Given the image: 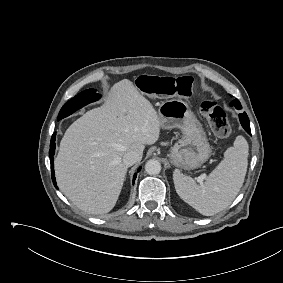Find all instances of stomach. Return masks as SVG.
<instances>
[{"label":"stomach","instance_id":"obj_1","mask_svg":"<svg viewBox=\"0 0 283 283\" xmlns=\"http://www.w3.org/2000/svg\"><path fill=\"white\" fill-rule=\"evenodd\" d=\"M158 115L162 129L179 128L183 134L171 149L174 165L191 170L209 159L211 148L206 134L187 103L179 99L162 102Z\"/></svg>","mask_w":283,"mask_h":283}]
</instances>
